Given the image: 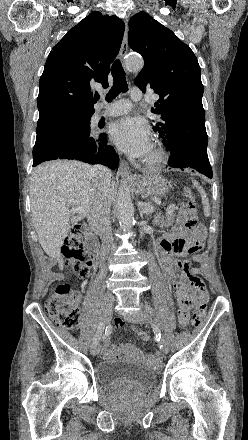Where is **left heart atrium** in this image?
<instances>
[{
	"instance_id": "1",
	"label": "left heart atrium",
	"mask_w": 248,
	"mask_h": 440,
	"mask_svg": "<svg viewBox=\"0 0 248 440\" xmlns=\"http://www.w3.org/2000/svg\"><path fill=\"white\" fill-rule=\"evenodd\" d=\"M110 134L118 148L133 158L146 157L152 150L149 129L138 118L124 117L116 121Z\"/></svg>"
}]
</instances>
